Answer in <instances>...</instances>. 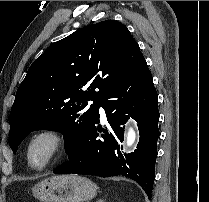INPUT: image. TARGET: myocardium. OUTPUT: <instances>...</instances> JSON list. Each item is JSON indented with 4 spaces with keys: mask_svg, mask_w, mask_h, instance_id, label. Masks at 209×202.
Segmentation results:
<instances>
[{
    "mask_svg": "<svg viewBox=\"0 0 209 202\" xmlns=\"http://www.w3.org/2000/svg\"><path fill=\"white\" fill-rule=\"evenodd\" d=\"M46 142L47 152L42 163L36 164L32 157V149L39 142ZM65 149V139L61 131L55 127H41L34 131L26 144V157L28 164L36 170H43L52 164Z\"/></svg>",
    "mask_w": 209,
    "mask_h": 202,
    "instance_id": "myocardium-1",
    "label": "myocardium"
}]
</instances>
